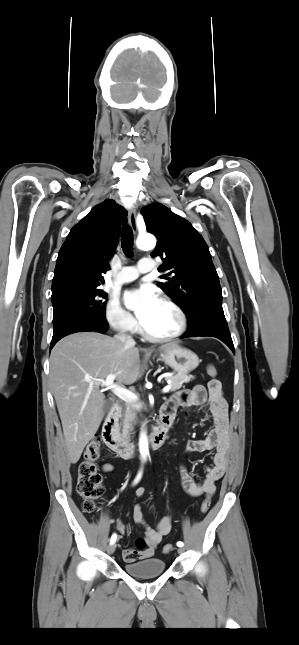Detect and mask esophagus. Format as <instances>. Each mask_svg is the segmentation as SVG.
<instances>
[{"instance_id":"esophagus-1","label":"esophagus","mask_w":299,"mask_h":645,"mask_svg":"<svg viewBox=\"0 0 299 645\" xmlns=\"http://www.w3.org/2000/svg\"><path fill=\"white\" fill-rule=\"evenodd\" d=\"M128 221H129V224H130L131 228L133 229V231L136 232L137 231V223H136V210H135V208L129 209V211H128Z\"/></svg>"}]
</instances>
